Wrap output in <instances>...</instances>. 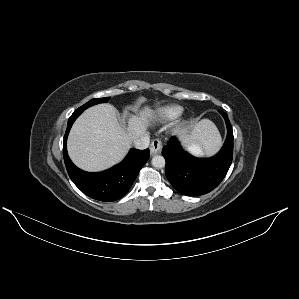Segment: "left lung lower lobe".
<instances>
[{"mask_svg":"<svg viewBox=\"0 0 299 299\" xmlns=\"http://www.w3.org/2000/svg\"><path fill=\"white\" fill-rule=\"evenodd\" d=\"M227 126L222 149L212 158H196L184 151L175 137L162 149L165 173L171 185L181 194L198 196L217 187L227 174L233 157V131L225 112L219 111Z\"/></svg>","mask_w":299,"mask_h":299,"instance_id":"0a47b994","label":"left lung lower lobe"}]
</instances>
